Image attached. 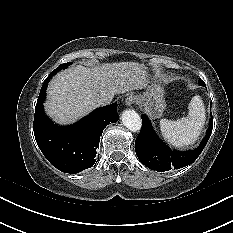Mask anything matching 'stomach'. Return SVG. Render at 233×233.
Returning <instances> with one entry per match:
<instances>
[{"label": "stomach", "instance_id": "obj_1", "mask_svg": "<svg viewBox=\"0 0 233 233\" xmlns=\"http://www.w3.org/2000/svg\"><path fill=\"white\" fill-rule=\"evenodd\" d=\"M136 103L152 118H160L166 109L164 89L159 84L147 87L146 92L135 96Z\"/></svg>", "mask_w": 233, "mask_h": 233}]
</instances>
